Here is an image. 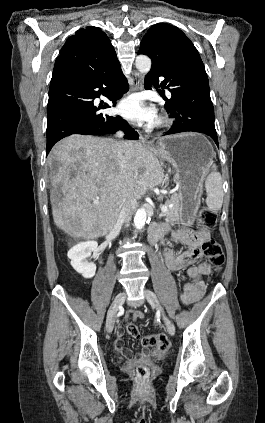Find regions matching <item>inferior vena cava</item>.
Here are the masks:
<instances>
[{
	"mask_svg": "<svg viewBox=\"0 0 265 423\" xmlns=\"http://www.w3.org/2000/svg\"><path fill=\"white\" fill-rule=\"evenodd\" d=\"M124 133L122 131H118L116 133V137H123ZM115 146L117 150V157L120 162H123V152L126 149V143L125 141H115ZM136 200L133 197L132 194H130L128 191L123 196L120 211L118 214V219L123 222H128L131 219V216L133 214L134 208H135Z\"/></svg>",
	"mask_w": 265,
	"mask_h": 423,
	"instance_id": "602c4592",
	"label": "inferior vena cava"
}]
</instances>
